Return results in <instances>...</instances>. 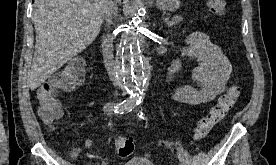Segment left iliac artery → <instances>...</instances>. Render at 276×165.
<instances>
[{"mask_svg": "<svg viewBox=\"0 0 276 165\" xmlns=\"http://www.w3.org/2000/svg\"><path fill=\"white\" fill-rule=\"evenodd\" d=\"M140 103H141V101L139 100V102H137V105H139ZM142 115H143V113H142V111H140V115H139V116H140L141 118H143Z\"/></svg>", "mask_w": 276, "mask_h": 165, "instance_id": "left-iliac-artery-1", "label": "left iliac artery"}]
</instances>
